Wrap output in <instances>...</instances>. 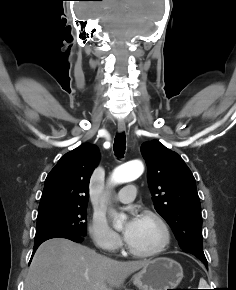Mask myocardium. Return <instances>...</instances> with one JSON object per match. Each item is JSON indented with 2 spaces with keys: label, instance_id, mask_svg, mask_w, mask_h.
Listing matches in <instances>:
<instances>
[{
  "label": "myocardium",
  "instance_id": "myocardium-1",
  "mask_svg": "<svg viewBox=\"0 0 236 290\" xmlns=\"http://www.w3.org/2000/svg\"><path fill=\"white\" fill-rule=\"evenodd\" d=\"M140 217L151 219L158 225L162 234L161 241L155 248L151 250H138L130 246L129 243L127 242V245H126L127 251L131 255L139 257V258H150V257L157 256L161 254L170 244L171 234H170L169 227L166 221L163 219V217L155 211L144 210L142 211Z\"/></svg>",
  "mask_w": 236,
  "mask_h": 290
}]
</instances>
